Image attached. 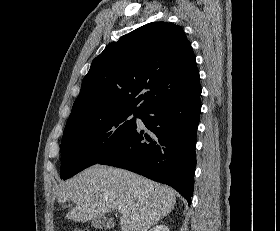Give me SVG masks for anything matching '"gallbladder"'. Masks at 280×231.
Here are the masks:
<instances>
[{
  "instance_id": "obj_1",
  "label": "gallbladder",
  "mask_w": 280,
  "mask_h": 231,
  "mask_svg": "<svg viewBox=\"0 0 280 231\" xmlns=\"http://www.w3.org/2000/svg\"><path fill=\"white\" fill-rule=\"evenodd\" d=\"M91 225L97 229H111L114 227L115 221L111 217H98V219H92Z\"/></svg>"
}]
</instances>
